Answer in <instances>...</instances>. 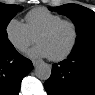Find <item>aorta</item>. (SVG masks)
I'll list each match as a JSON object with an SVG mask.
<instances>
[{
  "label": "aorta",
  "mask_w": 95,
  "mask_h": 95,
  "mask_svg": "<svg viewBox=\"0 0 95 95\" xmlns=\"http://www.w3.org/2000/svg\"><path fill=\"white\" fill-rule=\"evenodd\" d=\"M51 71H52L51 66L44 62L39 63L35 67V75L40 80H48L51 76Z\"/></svg>",
  "instance_id": "1"
}]
</instances>
